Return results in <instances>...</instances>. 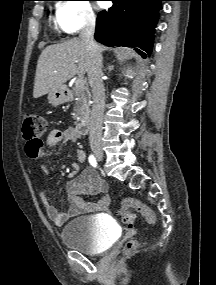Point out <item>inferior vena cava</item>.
<instances>
[{
	"label": "inferior vena cava",
	"instance_id": "inferior-vena-cava-1",
	"mask_svg": "<svg viewBox=\"0 0 216 285\" xmlns=\"http://www.w3.org/2000/svg\"><path fill=\"white\" fill-rule=\"evenodd\" d=\"M96 18L89 15L81 30L80 38L85 41L89 53L88 80L92 89V111L90 117V145L94 146L101 141L102 119L105 106V93L102 73V56L99 46L94 41Z\"/></svg>",
	"mask_w": 216,
	"mask_h": 285
}]
</instances>
